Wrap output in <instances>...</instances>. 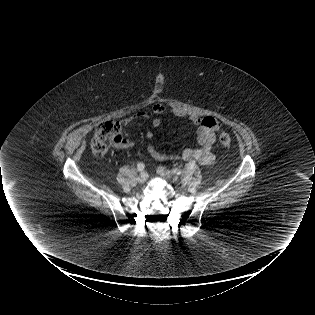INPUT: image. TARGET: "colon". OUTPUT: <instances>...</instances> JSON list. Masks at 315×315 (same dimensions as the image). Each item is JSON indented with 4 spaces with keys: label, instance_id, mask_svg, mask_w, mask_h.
I'll return each instance as SVG.
<instances>
[{
    "label": "colon",
    "instance_id": "obj_1",
    "mask_svg": "<svg viewBox=\"0 0 315 315\" xmlns=\"http://www.w3.org/2000/svg\"><path fill=\"white\" fill-rule=\"evenodd\" d=\"M123 129L119 122L104 121L101 122L95 130L92 146L93 151L97 155H102L108 148L117 146L124 141ZM231 137L228 133H221L219 136V143L222 146H229L231 144Z\"/></svg>",
    "mask_w": 315,
    "mask_h": 315
}]
</instances>
